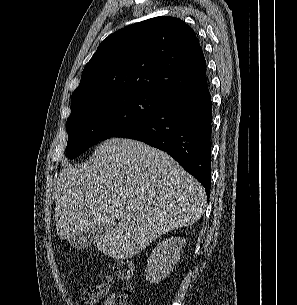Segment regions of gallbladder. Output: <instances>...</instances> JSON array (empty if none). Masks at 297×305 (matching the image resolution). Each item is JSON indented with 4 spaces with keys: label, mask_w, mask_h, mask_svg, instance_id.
I'll return each mask as SVG.
<instances>
[{
    "label": "gallbladder",
    "mask_w": 297,
    "mask_h": 305,
    "mask_svg": "<svg viewBox=\"0 0 297 305\" xmlns=\"http://www.w3.org/2000/svg\"><path fill=\"white\" fill-rule=\"evenodd\" d=\"M105 232L106 226L103 223L95 224L87 230L71 237L69 243L74 248L83 249L97 242Z\"/></svg>",
    "instance_id": "obj_1"
}]
</instances>
